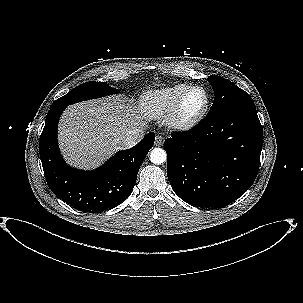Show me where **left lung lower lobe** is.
<instances>
[{"label": "left lung lower lobe", "instance_id": "left-lung-lower-lobe-1", "mask_svg": "<svg viewBox=\"0 0 303 303\" xmlns=\"http://www.w3.org/2000/svg\"><path fill=\"white\" fill-rule=\"evenodd\" d=\"M262 144L256 109L206 117L193 129L165 140L169 182L189 204L226 206L253 184Z\"/></svg>", "mask_w": 303, "mask_h": 303}]
</instances>
